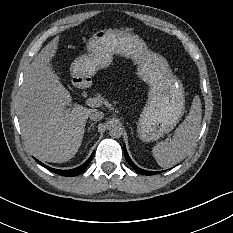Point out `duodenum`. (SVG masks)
<instances>
[{
  "label": "duodenum",
  "instance_id": "obj_1",
  "mask_svg": "<svg viewBox=\"0 0 233 233\" xmlns=\"http://www.w3.org/2000/svg\"><path fill=\"white\" fill-rule=\"evenodd\" d=\"M75 84L80 89H87L89 87V80L83 77L77 78Z\"/></svg>",
  "mask_w": 233,
  "mask_h": 233
}]
</instances>
